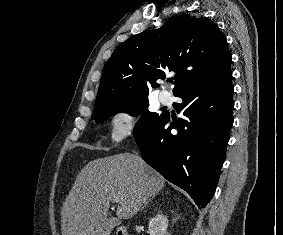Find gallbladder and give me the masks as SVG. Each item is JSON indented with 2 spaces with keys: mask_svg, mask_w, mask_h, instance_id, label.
<instances>
[{
  "mask_svg": "<svg viewBox=\"0 0 283 235\" xmlns=\"http://www.w3.org/2000/svg\"><path fill=\"white\" fill-rule=\"evenodd\" d=\"M108 222H111V227H110L111 231L119 223V221L116 218H113V217L108 218Z\"/></svg>",
  "mask_w": 283,
  "mask_h": 235,
  "instance_id": "gallbladder-1",
  "label": "gallbladder"
}]
</instances>
